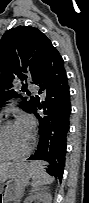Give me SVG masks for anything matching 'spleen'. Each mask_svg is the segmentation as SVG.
<instances>
[{"instance_id": "spleen-1", "label": "spleen", "mask_w": 89, "mask_h": 203, "mask_svg": "<svg viewBox=\"0 0 89 203\" xmlns=\"http://www.w3.org/2000/svg\"><path fill=\"white\" fill-rule=\"evenodd\" d=\"M41 165L42 164L40 163H35L28 169L29 177L32 178L36 185H42L53 181V177L44 172Z\"/></svg>"}]
</instances>
